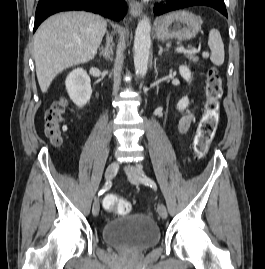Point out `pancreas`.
Wrapping results in <instances>:
<instances>
[{
  "label": "pancreas",
  "mask_w": 265,
  "mask_h": 269,
  "mask_svg": "<svg viewBox=\"0 0 265 269\" xmlns=\"http://www.w3.org/2000/svg\"><path fill=\"white\" fill-rule=\"evenodd\" d=\"M184 55L186 58H188L193 63H197L199 60L198 56H196L194 53H185Z\"/></svg>",
  "instance_id": "1"
}]
</instances>
